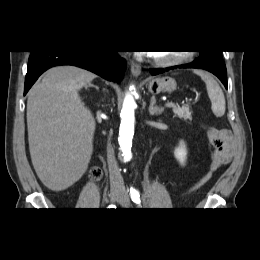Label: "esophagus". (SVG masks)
<instances>
[{"label": "esophagus", "instance_id": "esophagus-1", "mask_svg": "<svg viewBox=\"0 0 260 260\" xmlns=\"http://www.w3.org/2000/svg\"><path fill=\"white\" fill-rule=\"evenodd\" d=\"M131 73L136 77L139 76L141 73V66L135 62H132L131 63Z\"/></svg>", "mask_w": 260, "mask_h": 260}]
</instances>
